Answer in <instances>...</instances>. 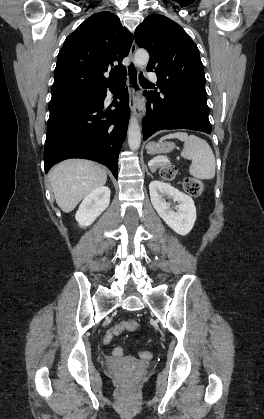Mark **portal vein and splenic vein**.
I'll return each instance as SVG.
<instances>
[{"label": "portal vein and splenic vein", "instance_id": "portal-vein-and-splenic-vein-1", "mask_svg": "<svg viewBox=\"0 0 264 419\" xmlns=\"http://www.w3.org/2000/svg\"><path fill=\"white\" fill-rule=\"evenodd\" d=\"M157 162H169V160L167 158H162L160 160H157Z\"/></svg>", "mask_w": 264, "mask_h": 419}]
</instances>
